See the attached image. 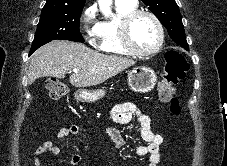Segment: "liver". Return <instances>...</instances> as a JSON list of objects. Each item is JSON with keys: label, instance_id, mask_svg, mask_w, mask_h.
Returning <instances> with one entry per match:
<instances>
[{"label": "liver", "instance_id": "6515ba94", "mask_svg": "<svg viewBox=\"0 0 227 166\" xmlns=\"http://www.w3.org/2000/svg\"><path fill=\"white\" fill-rule=\"evenodd\" d=\"M135 61L126 57L102 54L84 44L55 40L37 49L30 61L28 82L40 77L64 78L72 69L77 72L69 78L79 88L99 85L117 75Z\"/></svg>", "mask_w": 227, "mask_h": 166}]
</instances>
